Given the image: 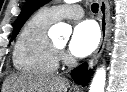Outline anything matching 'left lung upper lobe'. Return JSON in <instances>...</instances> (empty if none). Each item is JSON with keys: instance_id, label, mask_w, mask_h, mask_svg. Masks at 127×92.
<instances>
[{"instance_id": "5c2ea615", "label": "left lung upper lobe", "mask_w": 127, "mask_h": 92, "mask_svg": "<svg viewBox=\"0 0 127 92\" xmlns=\"http://www.w3.org/2000/svg\"><path fill=\"white\" fill-rule=\"evenodd\" d=\"M50 0H27L25 3L20 15L18 16L15 28L12 35V40L16 37L18 32L20 31L21 27L25 23V21L29 18V16L40 6L49 2Z\"/></svg>"}]
</instances>
